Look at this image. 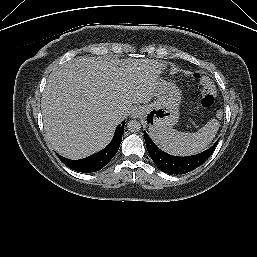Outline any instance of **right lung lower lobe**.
I'll use <instances>...</instances> for the list:
<instances>
[{
	"instance_id": "obj_1",
	"label": "right lung lower lobe",
	"mask_w": 257,
	"mask_h": 257,
	"mask_svg": "<svg viewBox=\"0 0 257 257\" xmlns=\"http://www.w3.org/2000/svg\"><path fill=\"white\" fill-rule=\"evenodd\" d=\"M124 125H125V122H123L117 127L115 137L106 148H104L103 150L93 155L83 159H79V160H70L57 154L58 158L66 166H68L69 168L75 171L84 172V173L96 172L101 168H103L117 153L120 143L122 141V134L124 133Z\"/></svg>"
}]
</instances>
